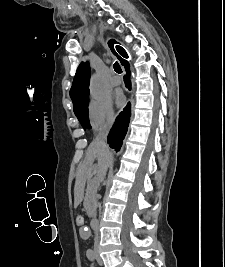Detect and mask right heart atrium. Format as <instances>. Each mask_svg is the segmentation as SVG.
I'll use <instances>...</instances> for the list:
<instances>
[{"label":"right heart atrium","instance_id":"right-heart-atrium-1","mask_svg":"<svg viewBox=\"0 0 225 267\" xmlns=\"http://www.w3.org/2000/svg\"><path fill=\"white\" fill-rule=\"evenodd\" d=\"M88 117L93 130L109 128L115 119L114 109L110 98H93L88 106Z\"/></svg>","mask_w":225,"mask_h":267}]
</instances>
